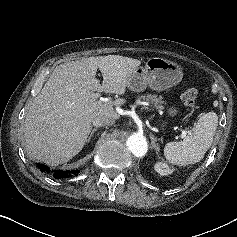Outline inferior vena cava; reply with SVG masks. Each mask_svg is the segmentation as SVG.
<instances>
[{
  "label": "inferior vena cava",
  "instance_id": "obj_1",
  "mask_svg": "<svg viewBox=\"0 0 237 237\" xmlns=\"http://www.w3.org/2000/svg\"><path fill=\"white\" fill-rule=\"evenodd\" d=\"M115 122V119L109 116H98L97 118L94 119L93 125L96 127H101V126H110L113 125Z\"/></svg>",
  "mask_w": 237,
  "mask_h": 237
}]
</instances>
